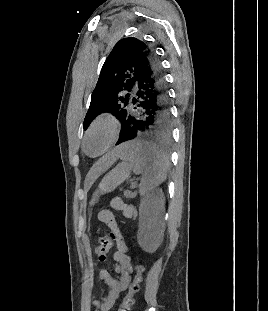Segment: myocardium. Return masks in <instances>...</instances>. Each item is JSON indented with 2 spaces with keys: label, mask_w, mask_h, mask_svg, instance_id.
<instances>
[{
  "label": "myocardium",
  "mask_w": 268,
  "mask_h": 311,
  "mask_svg": "<svg viewBox=\"0 0 268 311\" xmlns=\"http://www.w3.org/2000/svg\"><path fill=\"white\" fill-rule=\"evenodd\" d=\"M105 127L109 130V138L105 144V146L102 148L100 152L97 154H91L87 150V140L90 137V135L97 130L98 128ZM120 131V125L118 120L115 116L111 114H103L98 116L88 127V129L85 132L84 138H83V149L84 151L93 157H98L103 155L105 152H107L111 146L116 142L118 135Z\"/></svg>",
  "instance_id": "obj_1"
}]
</instances>
